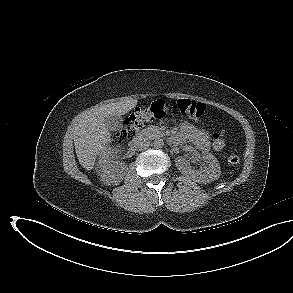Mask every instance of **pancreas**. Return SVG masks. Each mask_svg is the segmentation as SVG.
<instances>
[{
  "mask_svg": "<svg viewBox=\"0 0 293 293\" xmlns=\"http://www.w3.org/2000/svg\"><path fill=\"white\" fill-rule=\"evenodd\" d=\"M143 135L148 138H157L163 135V132L158 126H149L142 131Z\"/></svg>",
  "mask_w": 293,
  "mask_h": 293,
  "instance_id": "pancreas-1",
  "label": "pancreas"
}]
</instances>
